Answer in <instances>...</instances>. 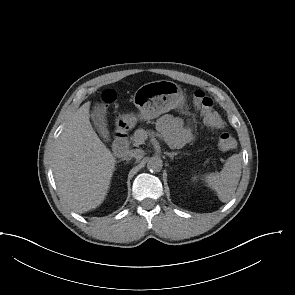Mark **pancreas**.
I'll list each match as a JSON object with an SVG mask.
<instances>
[{
    "label": "pancreas",
    "instance_id": "1",
    "mask_svg": "<svg viewBox=\"0 0 295 295\" xmlns=\"http://www.w3.org/2000/svg\"><path fill=\"white\" fill-rule=\"evenodd\" d=\"M145 134H148L144 129H137L134 135L131 137L134 146H139L145 141Z\"/></svg>",
    "mask_w": 295,
    "mask_h": 295
}]
</instances>
